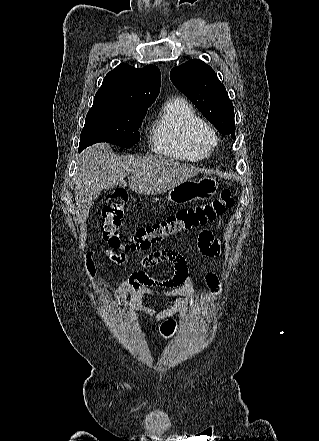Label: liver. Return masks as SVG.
I'll use <instances>...</instances> for the list:
<instances>
[{
    "label": "liver",
    "instance_id": "liver-1",
    "mask_svg": "<svg viewBox=\"0 0 319 441\" xmlns=\"http://www.w3.org/2000/svg\"><path fill=\"white\" fill-rule=\"evenodd\" d=\"M201 170L179 161L147 155L118 156L108 143L85 149L80 155L76 172L75 202L80 219L86 220L94 200L102 190L125 186L131 174L130 189L141 195L165 193Z\"/></svg>",
    "mask_w": 319,
    "mask_h": 441
}]
</instances>
